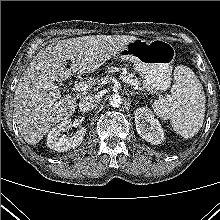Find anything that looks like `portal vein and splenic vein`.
Returning a JSON list of instances; mask_svg holds the SVG:
<instances>
[{"instance_id": "portal-vein-and-splenic-vein-1", "label": "portal vein and splenic vein", "mask_w": 220, "mask_h": 220, "mask_svg": "<svg viewBox=\"0 0 220 220\" xmlns=\"http://www.w3.org/2000/svg\"><path fill=\"white\" fill-rule=\"evenodd\" d=\"M120 78L122 79L123 82L134 85L133 80H131L127 77H124V76H121ZM91 86H92L91 83L86 82V81H82V82L75 84L73 90L78 91V92H80V91L85 92V91H88L91 88Z\"/></svg>"}]
</instances>
